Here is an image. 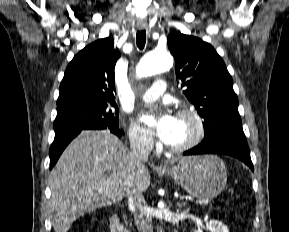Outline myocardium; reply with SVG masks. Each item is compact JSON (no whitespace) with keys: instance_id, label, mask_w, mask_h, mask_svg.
Listing matches in <instances>:
<instances>
[{"instance_id":"f54148a6","label":"myocardium","mask_w":289,"mask_h":232,"mask_svg":"<svg viewBox=\"0 0 289 232\" xmlns=\"http://www.w3.org/2000/svg\"><path fill=\"white\" fill-rule=\"evenodd\" d=\"M177 117H189L193 120L196 126V132L192 139L180 146H169L170 151L174 153H183L193 149L203 140L206 133V126L203 117L200 113L191 107H184L177 112Z\"/></svg>"}]
</instances>
